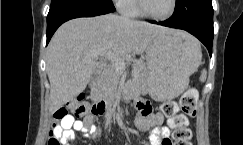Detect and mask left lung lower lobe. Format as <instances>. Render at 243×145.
Listing matches in <instances>:
<instances>
[{"instance_id": "0a47b994", "label": "left lung lower lobe", "mask_w": 243, "mask_h": 145, "mask_svg": "<svg viewBox=\"0 0 243 145\" xmlns=\"http://www.w3.org/2000/svg\"><path fill=\"white\" fill-rule=\"evenodd\" d=\"M151 23L159 24L171 28L183 29L195 37H197L208 49L210 56L212 55V42L214 30L199 29L191 23H188L180 14L174 12L173 15L166 21Z\"/></svg>"}]
</instances>
